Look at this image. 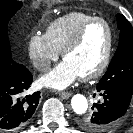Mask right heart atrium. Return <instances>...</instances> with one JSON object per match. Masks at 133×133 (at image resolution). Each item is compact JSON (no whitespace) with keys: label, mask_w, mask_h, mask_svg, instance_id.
Wrapping results in <instances>:
<instances>
[{"label":"right heart atrium","mask_w":133,"mask_h":133,"mask_svg":"<svg viewBox=\"0 0 133 133\" xmlns=\"http://www.w3.org/2000/svg\"><path fill=\"white\" fill-rule=\"evenodd\" d=\"M28 53L33 66L39 71H46L59 57V51L52 46L45 34L40 33L30 36Z\"/></svg>","instance_id":"1"}]
</instances>
